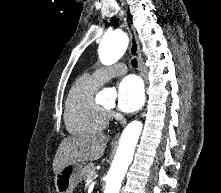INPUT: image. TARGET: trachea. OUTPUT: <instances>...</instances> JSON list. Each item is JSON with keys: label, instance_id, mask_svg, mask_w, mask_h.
Returning <instances> with one entry per match:
<instances>
[{"label": "trachea", "instance_id": "trachea-1", "mask_svg": "<svg viewBox=\"0 0 221 193\" xmlns=\"http://www.w3.org/2000/svg\"><path fill=\"white\" fill-rule=\"evenodd\" d=\"M131 63L134 68H137V60L135 58L132 59Z\"/></svg>", "mask_w": 221, "mask_h": 193}]
</instances>
